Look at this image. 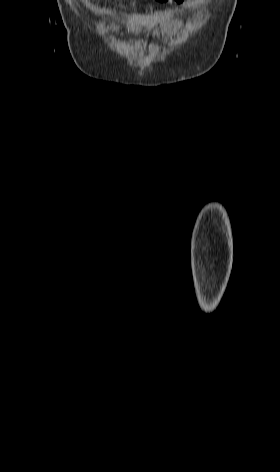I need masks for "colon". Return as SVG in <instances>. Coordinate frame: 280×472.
Returning a JSON list of instances; mask_svg holds the SVG:
<instances>
[{
	"mask_svg": "<svg viewBox=\"0 0 280 472\" xmlns=\"http://www.w3.org/2000/svg\"><path fill=\"white\" fill-rule=\"evenodd\" d=\"M156 1H157V2H160V3H167V2H169V1H171V0H156ZM175 1L177 2L178 0H175Z\"/></svg>",
	"mask_w": 280,
	"mask_h": 472,
	"instance_id": "colon-1",
	"label": "colon"
}]
</instances>
